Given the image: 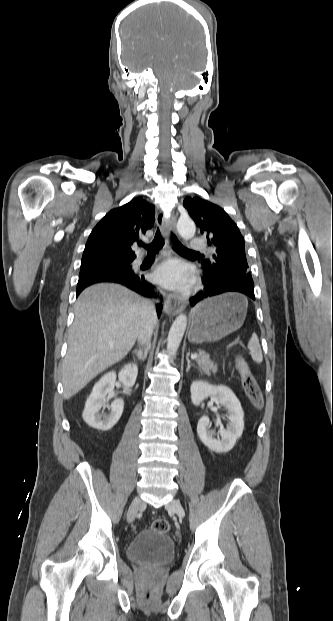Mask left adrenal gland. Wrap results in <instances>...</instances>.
Here are the masks:
<instances>
[{"label": "left adrenal gland", "mask_w": 333, "mask_h": 621, "mask_svg": "<svg viewBox=\"0 0 333 621\" xmlns=\"http://www.w3.org/2000/svg\"><path fill=\"white\" fill-rule=\"evenodd\" d=\"M189 354H190V351L187 353V356H186V360H187V368H186V372H189V370H190V368H191V367L196 368V369H198V370H199V368H198L195 364H191V361H190V359H189Z\"/></svg>", "instance_id": "a2214340"}]
</instances>
